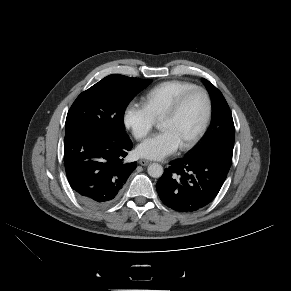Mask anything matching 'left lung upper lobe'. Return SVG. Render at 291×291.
Wrapping results in <instances>:
<instances>
[{
	"label": "left lung upper lobe",
	"instance_id": "1",
	"mask_svg": "<svg viewBox=\"0 0 291 291\" xmlns=\"http://www.w3.org/2000/svg\"><path fill=\"white\" fill-rule=\"evenodd\" d=\"M203 83L212 100V120L203 141L191 154L212 148L233 151L235 128L230 108L222 93L213 84L206 79H203Z\"/></svg>",
	"mask_w": 291,
	"mask_h": 291
}]
</instances>
